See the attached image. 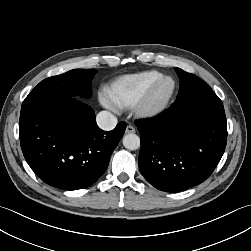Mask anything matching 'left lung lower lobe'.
<instances>
[{"mask_svg":"<svg viewBox=\"0 0 251 251\" xmlns=\"http://www.w3.org/2000/svg\"><path fill=\"white\" fill-rule=\"evenodd\" d=\"M135 124L141 140L140 172L161 191L179 192L204 182L226 147L224 107L205 83L179 93L157 117Z\"/></svg>","mask_w":251,"mask_h":251,"instance_id":"1","label":"left lung lower lobe"}]
</instances>
